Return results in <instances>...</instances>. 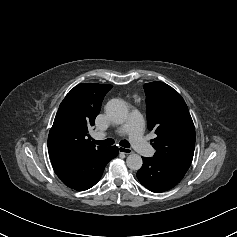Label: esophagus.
Returning a JSON list of instances; mask_svg holds the SVG:
<instances>
[{"label": "esophagus", "mask_w": 237, "mask_h": 237, "mask_svg": "<svg viewBox=\"0 0 237 237\" xmlns=\"http://www.w3.org/2000/svg\"><path fill=\"white\" fill-rule=\"evenodd\" d=\"M118 149H119L120 153H123V154H126V155H129V154L133 153V151L130 148L119 147Z\"/></svg>", "instance_id": "1"}]
</instances>
